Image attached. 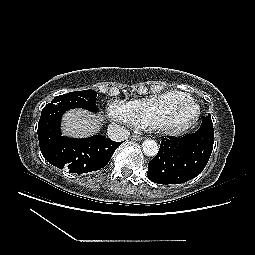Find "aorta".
<instances>
[{
    "instance_id": "1",
    "label": "aorta",
    "mask_w": 255,
    "mask_h": 255,
    "mask_svg": "<svg viewBox=\"0 0 255 255\" xmlns=\"http://www.w3.org/2000/svg\"><path fill=\"white\" fill-rule=\"evenodd\" d=\"M142 150L147 156H155L158 153L159 146L155 140L147 139L142 143Z\"/></svg>"
}]
</instances>
